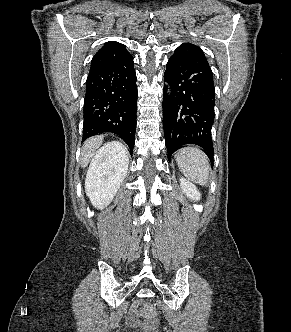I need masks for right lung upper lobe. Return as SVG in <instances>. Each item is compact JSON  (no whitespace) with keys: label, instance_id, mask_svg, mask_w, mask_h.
Listing matches in <instances>:
<instances>
[{"label":"right lung upper lobe","instance_id":"cb5924a9","mask_svg":"<svg viewBox=\"0 0 291 332\" xmlns=\"http://www.w3.org/2000/svg\"><path fill=\"white\" fill-rule=\"evenodd\" d=\"M130 56V53L126 50L123 44L115 41H108L94 55L91 61V67L121 62Z\"/></svg>","mask_w":291,"mask_h":332}]
</instances>
